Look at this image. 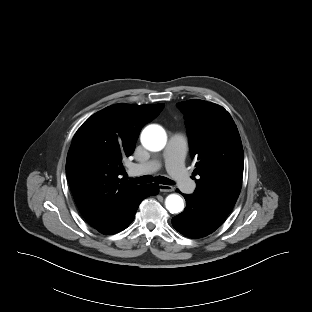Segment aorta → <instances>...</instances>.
Instances as JSON below:
<instances>
[{
  "mask_svg": "<svg viewBox=\"0 0 312 312\" xmlns=\"http://www.w3.org/2000/svg\"><path fill=\"white\" fill-rule=\"evenodd\" d=\"M141 143L147 150L158 152L166 144V133L157 125L148 126L141 134ZM165 205L167 210L172 214L179 213L184 208L183 199L177 194L169 195L166 198Z\"/></svg>",
  "mask_w": 312,
  "mask_h": 312,
  "instance_id": "1",
  "label": "aorta"
}]
</instances>
